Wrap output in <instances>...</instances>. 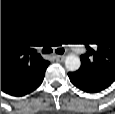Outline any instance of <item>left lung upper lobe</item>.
Masks as SVG:
<instances>
[{"label":"left lung upper lobe","mask_w":115,"mask_h":114,"mask_svg":"<svg viewBox=\"0 0 115 114\" xmlns=\"http://www.w3.org/2000/svg\"><path fill=\"white\" fill-rule=\"evenodd\" d=\"M86 53L75 73L115 81V20L93 30L83 40Z\"/></svg>","instance_id":"left-lung-upper-lobe-1"}]
</instances>
